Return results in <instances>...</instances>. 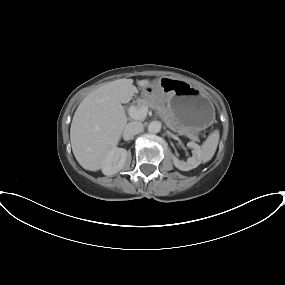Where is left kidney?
<instances>
[{
	"label": "left kidney",
	"mask_w": 285,
	"mask_h": 285,
	"mask_svg": "<svg viewBox=\"0 0 285 285\" xmlns=\"http://www.w3.org/2000/svg\"><path fill=\"white\" fill-rule=\"evenodd\" d=\"M187 147L192 149V157H189L187 162L180 161L177 157L172 156L173 163L176 168L182 171H189L196 168L202 160V151L198 144L194 142L187 143Z\"/></svg>",
	"instance_id": "obj_1"
}]
</instances>
